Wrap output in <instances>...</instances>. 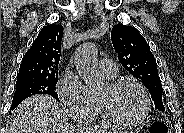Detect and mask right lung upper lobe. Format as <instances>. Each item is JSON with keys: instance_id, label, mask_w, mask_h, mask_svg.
<instances>
[{"instance_id": "obj_1", "label": "right lung upper lobe", "mask_w": 184, "mask_h": 133, "mask_svg": "<svg viewBox=\"0 0 184 133\" xmlns=\"http://www.w3.org/2000/svg\"><path fill=\"white\" fill-rule=\"evenodd\" d=\"M62 37V25L50 24L43 27L24 55L17 79L58 76Z\"/></svg>"}]
</instances>
